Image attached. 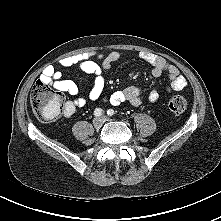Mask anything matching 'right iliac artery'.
<instances>
[{
  "instance_id": "82829eb1",
  "label": "right iliac artery",
  "mask_w": 221,
  "mask_h": 221,
  "mask_svg": "<svg viewBox=\"0 0 221 221\" xmlns=\"http://www.w3.org/2000/svg\"><path fill=\"white\" fill-rule=\"evenodd\" d=\"M103 114V110L100 108L95 109L94 115L95 116H101Z\"/></svg>"
}]
</instances>
